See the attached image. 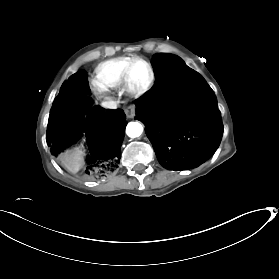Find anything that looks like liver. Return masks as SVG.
Masks as SVG:
<instances>
[{
  "instance_id": "obj_1",
  "label": "liver",
  "mask_w": 279,
  "mask_h": 279,
  "mask_svg": "<svg viewBox=\"0 0 279 279\" xmlns=\"http://www.w3.org/2000/svg\"><path fill=\"white\" fill-rule=\"evenodd\" d=\"M84 152L80 147H76L73 150H67L65 153L61 154V158L63 159V165L70 171L71 173H77L84 164Z\"/></svg>"
}]
</instances>
